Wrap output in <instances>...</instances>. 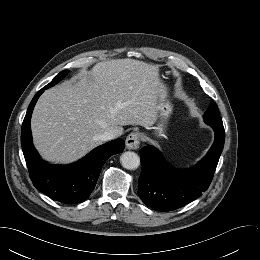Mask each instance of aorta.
Here are the masks:
<instances>
[{
	"instance_id": "762f6f07",
	"label": "aorta",
	"mask_w": 260,
	"mask_h": 260,
	"mask_svg": "<svg viewBox=\"0 0 260 260\" xmlns=\"http://www.w3.org/2000/svg\"><path fill=\"white\" fill-rule=\"evenodd\" d=\"M121 165L128 170H135L140 165V157L134 152H124L120 157Z\"/></svg>"
}]
</instances>
